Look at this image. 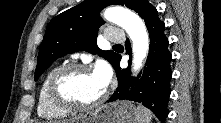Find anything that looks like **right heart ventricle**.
I'll list each match as a JSON object with an SVG mask.
<instances>
[{
    "instance_id": "e07e8e85",
    "label": "right heart ventricle",
    "mask_w": 221,
    "mask_h": 123,
    "mask_svg": "<svg viewBox=\"0 0 221 123\" xmlns=\"http://www.w3.org/2000/svg\"><path fill=\"white\" fill-rule=\"evenodd\" d=\"M51 69L43 79L38 94L37 113L43 119H61L69 115V111L63 110L52 103L48 94V84L51 75L57 69Z\"/></svg>"
}]
</instances>
